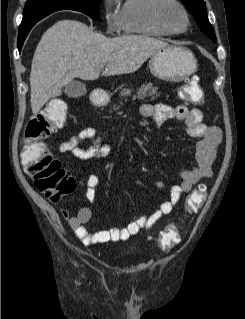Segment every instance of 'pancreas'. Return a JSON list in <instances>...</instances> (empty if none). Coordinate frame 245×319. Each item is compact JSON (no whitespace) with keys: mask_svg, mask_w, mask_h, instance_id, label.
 I'll return each mask as SVG.
<instances>
[{"mask_svg":"<svg viewBox=\"0 0 245 319\" xmlns=\"http://www.w3.org/2000/svg\"><path fill=\"white\" fill-rule=\"evenodd\" d=\"M161 93L158 92V88L153 86L152 83L144 84L142 85L139 90L137 91L136 95L133 96V99H139V100H144L145 98H150L151 100H154L157 98ZM122 104V103H121ZM113 110H118L120 109V106L113 105L111 108ZM112 111V110H110Z\"/></svg>","mask_w":245,"mask_h":319,"instance_id":"obj_1","label":"pancreas"}]
</instances>
